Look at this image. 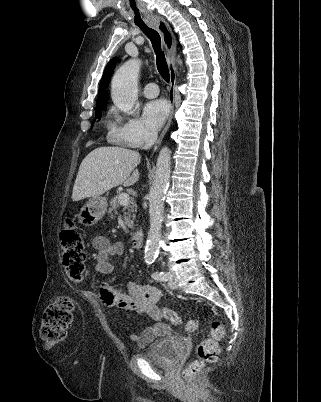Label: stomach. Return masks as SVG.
I'll return each mask as SVG.
<instances>
[{
  "label": "stomach",
  "instance_id": "1",
  "mask_svg": "<svg viewBox=\"0 0 321 402\" xmlns=\"http://www.w3.org/2000/svg\"><path fill=\"white\" fill-rule=\"evenodd\" d=\"M107 198L102 196L91 197L80 209L78 221L90 226L100 221L107 211Z\"/></svg>",
  "mask_w": 321,
  "mask_h": 402
}]
</instances>
